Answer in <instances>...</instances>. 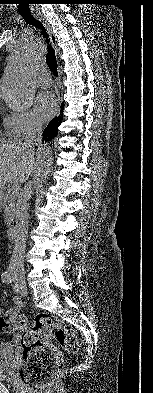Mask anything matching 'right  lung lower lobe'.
<instances>
[{
  "label": "right lung lower lobe",
  "instance_id": "obj_1",
  "mask_svg": "<svg viewBox=\"0 0 153 393\" xmlns=\"http://www.w3.org/2000/svg\"><path fill=\"white\" fill-rule=\"evenodd\" d=\"M61 108L63 110L64 108V103H62ZM62 116H58L54 119L51 120V122L48 124V126L45 128L43 131V140L51 141L58 133V126L62 122Z\"/></svg>",
  "mask_w": 153,
  "mask_h": 393
}]
</instances>
